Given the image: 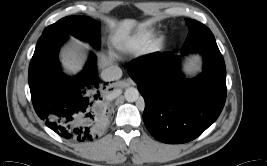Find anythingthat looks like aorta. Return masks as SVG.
I'll return each mask as SVG.
<instances>
[{
  "instance_id": "aorta-1",
  "label": "aorta",
  "mask_w": 267,
  "mask_h": 166,
  "mask_svg": "<svg viewBox=\"0 0 267 166\" xmlns=\"http://www.w3.org/2000/svg\"><path fill=\"white\" fill-rule=\"evenodd\" d=\"M124 96L128 102H135L139 99V91L134 87H129L125 90Z\"/></svg>"
}]
</instances>
